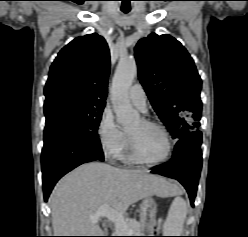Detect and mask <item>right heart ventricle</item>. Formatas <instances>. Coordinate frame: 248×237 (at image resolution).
I'll use <instances>...</instances> for the list:
<instances>
[{
	"label": "right heart ventricle",
	"instance_id": "right-heart-ventricle-1",
	"mask_svg": "<svg viewBox=\"0 0 248 237\" xmlns=\"http://www.w3.org/2000/svg\"><path fill=\"white\" fill-rule=\"evenodd\" d=\"M119 158L122 159V160H124V161H126V162H136L132 158V156H131V154L129 152L127 141H126L125 148H124L122 154L119 156Z\"/></svg>",
	"mask_w": 248,
	"mask_h": 237
}]
</instances>
